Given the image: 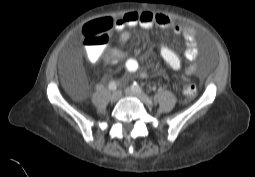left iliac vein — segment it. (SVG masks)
I'll return each mask as SVG.
<instances>
[{"mask_svg": "<svg viewBox=\"0 0 255 177\" xmlns=\"http://www.w3.org/2000/svg\"><path fill=\"white\" fill-rule=\"evenodd\" d=\"M125 94L128 96H135L138 97L140 100H142L143 102H145L146 104L149 105V103L145 100V98L139 94L138 92L134 91L132 88H126L125 89Z\"/></svg>", "mask_w": 255, "mask_h": 177, "instance_id": "1", "label": "left iliac vein"}]
</instances>
